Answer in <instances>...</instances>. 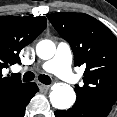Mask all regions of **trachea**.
Here are the masks:
<instances>
[{"label": "trachea", "mask_w": 117, "mask_h": 117, "mask_svg": "<svg viewBox=\"0 0 117 117\" xmlns=\"http://www.w3.org/2000/svg\"><path fill=\"white\" fill-rule=\"evenodd\" d=\"M35 75L33 72L29 71V72H26L24 75H23V81L24 82H28V81H32L34 79ZM38 80L43 83V84H46V85H49L51 83V78L47 75H39L38 77Z\"/></svg>", "instance_id": "obj_1"}]
</instances>
